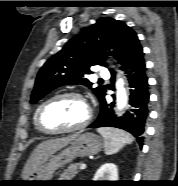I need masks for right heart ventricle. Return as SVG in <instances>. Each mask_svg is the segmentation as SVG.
<instances>
[{"mask_svg": "<svg viewBox=\"0 0 178 186\" xmlns=\"http://www.w3.org/2000/svg\"><path fill=\"white\" fill-rule=\"evenodd\" d=\"M38 108H39V106L35 109L34 114H33V124L37 130H39L37 127V123H36V115H37Z\"/></svg>", "mask_w": 178, "mask_h": 186, "instance_id": "obj_1", "label": "right heart ventricle"}]
</instances>
